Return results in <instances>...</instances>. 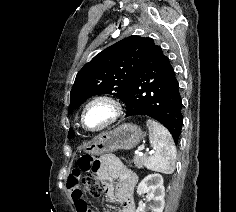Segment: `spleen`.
<instances>
[{
  "instance_id": "obj_1",
  "label": "spleen",
  "mask_w": 236,
  "mask_h": 212,
  "mask_svg": "<svg viewBox=\"0 0 236 212\" xmlns=\"http://www.w3.org/2000/svg\"><path fill=\"white\" fill-rule=\"evenodd\" d=\"M150 144L153 148L146 162L149 170L171 174L174 171L176 160V147L170 132L160 123L153 119H148Z\"/></svg>"
}]
</instances>
